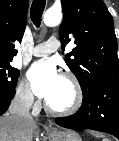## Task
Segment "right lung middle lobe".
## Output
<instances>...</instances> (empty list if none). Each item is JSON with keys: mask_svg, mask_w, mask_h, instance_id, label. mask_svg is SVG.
Wrapping results in <instances>:
<instances>
[{"mask_svg": "<svg viewBox=\"0 0 119 141\" xmlns=\"http://www.w3.org/2000/svg\"><path fill=\"white\" fill-rule=\"evenodd\" d=\"M11 59L0 60V93L11 95L15 91L19 71L11 66Z\"/></svg>", "mask_w": 119, "mask_h": 141, "instance_id": "1", "label": "right lung middle lobe"}]
</instances>
